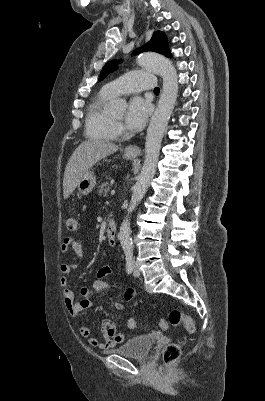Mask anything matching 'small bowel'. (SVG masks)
Returning <instances> with one entry per match:
<instances>
[{"label": "small bowel", "instance_id": "obj_1", "mask_svg": "<svg viewBox=\"0 0 265 401\" xmlns=\"http://www.w3.org/2000/svg\"><path fill=\"white\" fill-rule=\"evenodd\" d=\"M70 249L74 251L78 258L83 257L84 247L81 241L75 240L72 237H67L63 240L60 250L62 253H67ZM76 269V265L72 263H65L60 266L61 284L64 287L63 298L64 304L68 312L75 318H79L84 310L89 309L93 305V297L97 294L110 293L112 291L111 285L106 279L111 275V268L103 266L99 268L94 276V282L91 288L83 287L80 290L81 300L77 301L74 297L73 291L68 288V275ZM135 295L134 289L126 290L124 299L129 300ZM113 308L115 311L123 310V305L119 302L114 303ZM103 341L91 334L90 328L86 324L79 326V333L82 337L87 339V342L94 347L107 351L118 344L126 341L127 336L117 331L116 325L112 320L105 319L101 325Z\"/></svg>", "mask_w": 265, "mask_h": 401}]
</instances>
